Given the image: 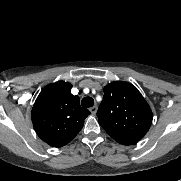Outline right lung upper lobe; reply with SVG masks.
Returning a JSON list of instances; mask_svg holds the SVG:
<instances>
[{"label":"right lung upper lobe","mask_w":181,"mask_h":181,"mask_svg":"<svg viewBox=\"0 0 181 181\" xmlns=\"http://www.w3.org/2000/svg\"><path fill=\"white\" fill-rule=\"evenodd\" d=\"M71 88L72 85L64 81L48 84L31 111L37 135L52 147H62L71 142L90 114L80 106L79 97L71 94Z\"/></svg>","instance_id":"right-lung-upper-lobe-1"}]
</instances>
